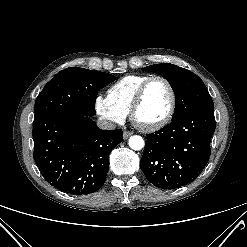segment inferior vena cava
<instances>
[{
  "mask_svg": "<svg viewBox=\"0 0 247 247\" xmlns=\"http://www.w3.org/2000/svg\"><path fill=\"white\" fill-rule=\"evenodd\" d=\"M97 126L102 130H111L115 129L116 127V125L112 121L101 117L97 119Z\"/></svg>",
  "mask_w": 247,
  "mask_h": 247,
  "instance_id": "obj_1",
  "label": "inferior vena cava"
}]
</instances>
